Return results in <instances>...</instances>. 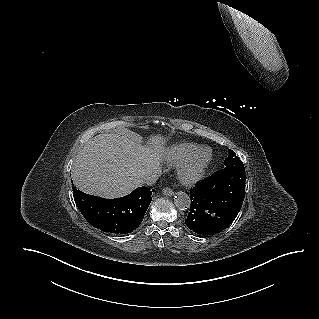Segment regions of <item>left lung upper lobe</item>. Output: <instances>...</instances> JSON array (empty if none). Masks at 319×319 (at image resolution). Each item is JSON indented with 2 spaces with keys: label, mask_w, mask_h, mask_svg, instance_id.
Wrapping results in <instances>:
<instances>
[{
  "label": "left lung upper lobe",
  "mask_w": 319,
  "mask_h": 319,
  "mask_svg": "<svg viewBox=\"0 0 319 319\" xmlns=\"http://www.w3.org/2000/svg\"><path fill=\"white\" fill-rule=\"evenodd\" d=\"M223 169L245 170L242 161L236 156V153L229 150V155L224 161Z\"/></svg>",
  "instance_id": "left-lung-upper-lobe-1"
}]
</instances>
